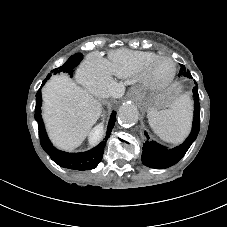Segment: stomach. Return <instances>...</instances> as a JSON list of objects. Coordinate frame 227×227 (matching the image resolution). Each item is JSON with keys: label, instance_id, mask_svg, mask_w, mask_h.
Instances as JSON below:
<instances>
[{"label": "stomach", "instance_id": "1", "mask_svg": "<svg viewBox=\"0 0 227 227\" xmlns=\"http://www.w3.org/2000/svg\"><path fill=\"white\" fill-rule=\"evenodd\" d=\"M165 98H156L152 104L155 108H161L165 104Z\"/></svg>", "mask_w": 227, "mask_h": 227}]
</instances>
